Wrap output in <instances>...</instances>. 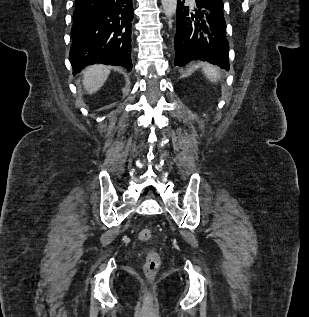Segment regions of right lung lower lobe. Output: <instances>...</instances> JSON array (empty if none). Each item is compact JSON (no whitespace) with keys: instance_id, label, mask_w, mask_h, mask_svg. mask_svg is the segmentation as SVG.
<instances>
[{"instance_id":"obj_1","label":"right lung lower lobe","mask_w":309,"mask_h":317,"mask_svg":"<svg viewBox=\"0 0 309 317\" xmlns=\"http://www.w3.org/2000/svg\"><path fill=\"white\" fill-rule=\"evenodd\" d=\"M132 0H76L69 59L73 73L94 63L132 68Z\"/></svg>"}]
</instances>
